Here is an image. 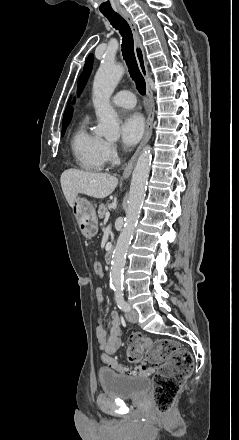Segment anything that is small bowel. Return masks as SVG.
I'll use <instances>...</instances> for the list:
<instances>
[{
    "instance_id": "small-bowel-1",
    "label": "small bowel",
    "mask_w": 239,
    "mask_h": 440,
    "mask_svg": "<svg viewBox=\"0 0 239 440\" xmlns=\"http://www.w3.org/2000/svg\"><path fill=\"white\" fill-rule=\"evenodd\" d=\"M96 304L98 313H101L103 304V290L98 287L96 289ZM109 332L103 327L101 319H99L98 326L96 328V338L98 347L101 351L100 358L109 367H112V355L116 354L121 347V327L120 320L116 312H112L109 316ZM114 369V368H113Z\"/></svg>"
}]
</instances>
